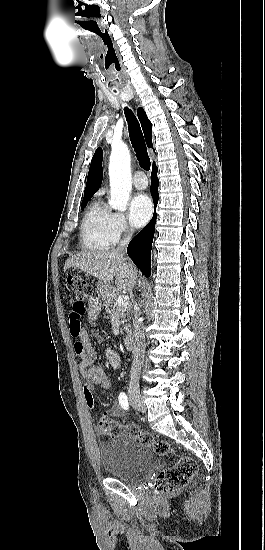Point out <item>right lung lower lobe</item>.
Returning <instances> with one entry per match:
<instances>
[{"mask_svg":"<svg viewBox=\"0 0 265 550\" xmlns=\"http://www.w3.org/2000/svg\"><path fill=\"white\" fill-rule=\"evenodd\" d=\"M158 186L157 167L153 165L151 173V194L154 207L157 206L159 200ZM156 218L157 216L154 214L149 224L131 240L127 248L128 256L147 277H149L151 273V247L155 232Z\"/></svg>","mask_w":265,"mask_h":550,"instance_id":"right-lung-lower-lobe-1","label":"right lung lower lobe"}]
</instances>
